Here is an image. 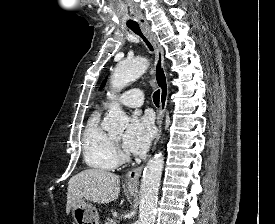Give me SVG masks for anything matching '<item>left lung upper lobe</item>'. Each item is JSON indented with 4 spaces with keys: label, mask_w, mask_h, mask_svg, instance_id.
<instances>
[{
    "label": "left lung upper lobe",
    "mask_w": 275,
    "mask_h": 224,
    "mask_svg": "<svg viewBox=\"0 0 275 224\" xmlns=\"http://www.w3.org/2000/svg\"><path fill=\"white\" fill-rule=\"evenodd\" d=\"M105 83H106V81H104V82L102 83V85H101V87H100V90L104 87Z\"/></svg>",
    "instance_id": "obj_1"
}]
</instances>
